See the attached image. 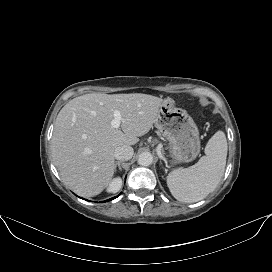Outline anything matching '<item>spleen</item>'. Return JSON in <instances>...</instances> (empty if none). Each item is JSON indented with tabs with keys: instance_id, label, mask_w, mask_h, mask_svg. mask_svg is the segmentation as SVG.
Returning <instances> with one entry per match:
<instances>
[{
	"instance_id": "3e777b00",
	"label": "spleen",
	"mask_w": 272,
	"mask_h": 272,
	"mask_svg": "<svg viewBox=\"0 0 272 272\" xmlns=\"http://www.w3.org/2000/svg\"><path fill=\"white\" fill-rule=\"evenodd\" d=\"M205 154L195 165L176 169L168 175V188L178 201L193 203L202 200L220 182L227 157V140L223 131H217L210 138Z\"/></svg>"
}]
</instances>
